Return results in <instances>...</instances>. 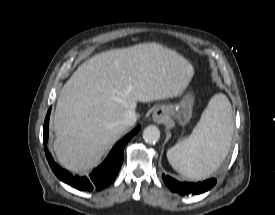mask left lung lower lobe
<instances>
[{
    "mask_svg": "<svg viewBox=\"0 0 275 215\" xmlns=\"http://www.w3.org/2000/svg\"><path fill=\"white\" fill-rule=\"evenodd\" d=\"M166 186L180 195H198L211 189L216 184V179L211 178L202 182H178L170 176L162 175Z\"/></svg>",
    "mask_w": 275,
    "mask_h": 215,
    "instance_id": "1",
    "label": "left lung lower lobe"
}]
</instances>
